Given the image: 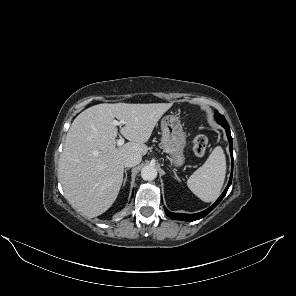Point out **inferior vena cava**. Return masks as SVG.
Listing matches in <instances>:
<instances>
[{
    "mask_svg": "<svg viewBox=\"0 0 296 296\" xmlns=\"http://www.w3.org/2000/svg\"><path fill=\"white\" fill-rule=\"evenodd\" d=\"M142 160L141 155L139 154H130L129 156H127L124 160V165L126 167H133L138 165Z\"/></svg>",
    "mask_w": 296,
    "mask_h": 296,
    "instance_id": "obj_1",
    "label": "inferior vena cava"
}]
</instances>
